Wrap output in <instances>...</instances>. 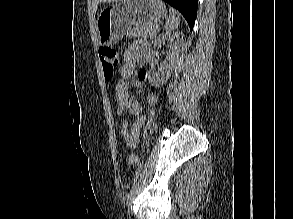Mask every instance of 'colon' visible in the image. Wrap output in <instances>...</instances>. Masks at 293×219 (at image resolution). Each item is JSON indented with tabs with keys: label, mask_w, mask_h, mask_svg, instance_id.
Segmentation results:
<instances>
[{
	"label": "colon",
	"mask_w": 293,
	"mask_h": 219,
	"mask_svg": "<svg viewBox=\"0 0 293 219\" xmlns=\"http://www.w3.org/2000/svg\"><path fill=\"white\" fill-rule=\"evenodd\" d=\"M99 57L103 67L104 77L108 80L112 79L119 63L117 52L111 48L103 47L99 50ZM137 162L138 158L135 154H131L127 159L129 165H136Z\"/></svg>",
	"instance_id": "colon-1"
}]
</instances>
